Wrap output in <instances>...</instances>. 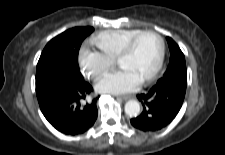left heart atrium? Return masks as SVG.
Masks as SVG:
<instances>
[{"label": "left heart atrium", "instance_id": "39dd6f15", "mask_svg": "<svg viewBox=\"0 0 225 155\" xmlns=\"http://www.w3.org/2000/svg\"><path fill=\"white\" fill-rule=\"evenodd\" d=\"M141 80L130 70L121 68L105 75L96 85L100 92L113 94L125 93L135 90Z\"/></svg>", "mask_w": 225, "mask_h": 155}]
</instances>
